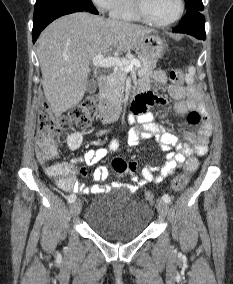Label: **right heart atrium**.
I'll return each mask as SVG.
<instances>
[{"instance_id":"d8ad5b80","label":"right heart atrium","mask_w":233,"mask_h":284,"mask_svg":"<svg viewBox=\"0 0 233 284\" xmlns=\"http://www.w3.org/2000/svg\"><path fill=\"white\" fill-rule=\"evenodd\" d=\"M102 12L110 11L116 0H91Z\"/></svg>"}]
</instances>
